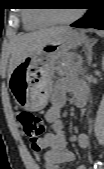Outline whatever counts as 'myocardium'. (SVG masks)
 <instances>
[{"mask_svg": "<svg viewBox=\"0 0 104 169\" xmlns=\"http://www.w3.org/2000/svg\"><path fill=\"white\" fill-rule=\"evenodd\" d=\"M81 12L77 11L75 14H73L70 17L67 18H60V17H56L54 14L52 13H47L45 16L52 22V23H61V24H67V23H72L75 20H77L80 16H81Z\"/></svg>", "mask_w": 104, "mask_h": 169, "instance_id": "obj_1", "label": "myocardium"}]
</instances>
